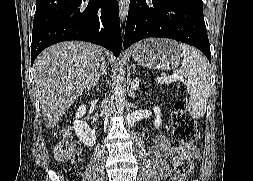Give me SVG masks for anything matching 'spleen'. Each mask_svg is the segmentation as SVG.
Returning a JSON list of instances; mask_svg holds the SVG:
<instances>
[{"label":"spleen","mask_w":253,"mask_h":181,"mask_svg":"<svg viewBox=\"0 0 253 181\" xmlns=\"http://www.w3.org/2000/svg\"><path fill=\"white\" fill-rule=\"evenodd\" d=\"M178 47L181 50V62L177 74L186 79L187 91L190 95L188 109L194 118H202L206 112L210 90L207 60L189 45L180 43Z\"/></svg>","instance_id":"1"}]
</instances>
